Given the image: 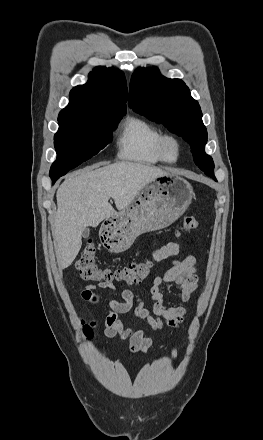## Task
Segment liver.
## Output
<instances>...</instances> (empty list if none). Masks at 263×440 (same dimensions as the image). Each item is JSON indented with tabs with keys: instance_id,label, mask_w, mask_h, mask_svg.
Masks as SVG:
<instances>
[{
	"instance_id": "1",
	"label": "liver",
	"mask_w": 263,
	"mask_h": 440,
	"mask_svg": "<svg viewBox=\"0 0 263 440\" xmlns=\"http://www.w3.org/2000/svg\"><path fill=\"white\" fill-rule=\"evenodd\" d=\"M166 174L158 167L122 161L70 175L56 193L53 237L59 268L69 267L78 255L86 227H97L117 213L108 202L110 198L123 210L145 185Z\"/></svg>"
}]
</instances>
